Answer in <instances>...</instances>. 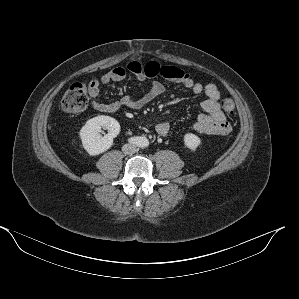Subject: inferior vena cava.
I'll list each match as a JSON object with an SVG mask.
<instances>
[{
    "mask_svg": "<svg viewBox=\"0 0 299 299\" xmlns=\"http://www.w3.org/2000/svg\"><path fill=\"white\" fill-rule=\"evenodd\" d=\"M137 148L134 144H125L122 147V151L124 154L130 155L136 152Z\"/></svg>",
    "mask_w": 299,
    "mask_h": 299,
    "instance_id": "1",
    "label": "inferior vena cava"
}]
</instances>
